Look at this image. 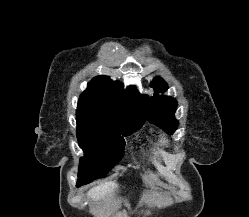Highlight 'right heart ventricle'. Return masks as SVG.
<instances>
[{
  "mask_svg": "<svg viewBox=\"0 0 249 217\" xmlns=\"http://www.w3.org/2000/svg\"><path fill=\"white\" fill-rule=\"evenodd\" d=\"M158 144L160 146H164V145H166V140L165 139H160Z\"/></svg>",
  "mask_w": 249,
  "mask_h": 217,
  "instance_id": "obj_1",
  "label": "right heart ventricle"
}]
</instances>
